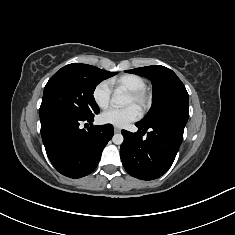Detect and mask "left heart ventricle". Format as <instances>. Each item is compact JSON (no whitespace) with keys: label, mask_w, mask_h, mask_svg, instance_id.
I'll return each instance as SVG.
<instances>
[{"label":"left heart ventricle","mask_w":235,"mask_h":235,"mask_svg":"<svg viewBox=\"0 0 235 235\" xmlns=\"http://www.w3.org/2000/svg\"><path fill=\"white\" fill-rule=\"evenodd\" d=\"M126 105H135V106H137L136 102L134 101V99L130 95H128V97H127Z\"/></svg>","instance_id":"left-heart-ventricle-1"}]
</instances>
